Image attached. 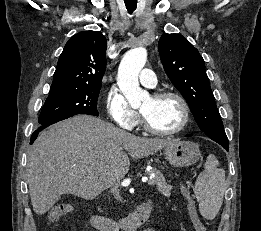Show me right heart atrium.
<instances>
[{"label": "right heart atrium", "instance_id": "1", "mask_svg": "<svg viewBox=\"0 0 261 231\" xmlns=\"http://www.w3.org/2000/svg\"><path fill=\"white\" fill-rule=\"evenodd\" d=\"M106 108L111 120L118 127L130 131L137 126L139 113L129 105L119 91L113 89L108 93Z\"/></svg>", "mask_w": 261, "mask_h": 231}]
</instances>
